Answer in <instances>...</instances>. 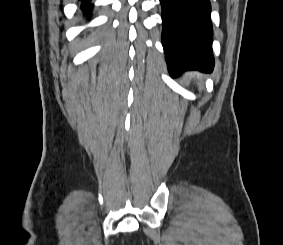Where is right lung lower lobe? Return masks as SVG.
<instances>
[{
  "label": "right lung lower lobe",
  "mask_w": 283,
  "mask_h": 245,
  "mask_svg": "<svg viewBox=\"0 0 283 245\" xmlns=\"http://www.w3.org/2000/svg\"><path fill=\"white\" fill-rule=\"evenodd\" d=\"M80 1H81V8L83 9L86 15H89L92 9V5L90 4L91 0H80Z\"/></svg>",
  "instance_id": "98d812e1"
}]
</instances>
